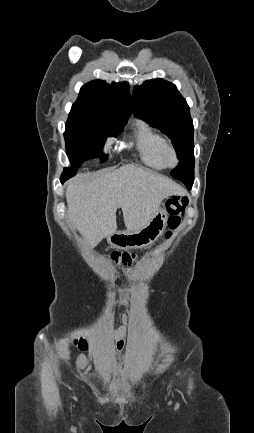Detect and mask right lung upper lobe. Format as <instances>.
<instances>
[{"mask_svg":"<svg viewBox=\"0 0 254 433\" xmlns=\"http://www.w3.org/2000/svg\"><path fill=\"white\" fill-rule=\"evenodd\" d=\"M72 108L94 109L107 113L114 122L125 121L132 112L127 82L107 84L102 80L87 83Z\"/></svg>","mask_w":254,"mask_h":433,"instance_id":"1","label":"right lung upper lobe"}]
</instances>
